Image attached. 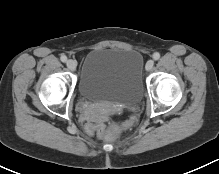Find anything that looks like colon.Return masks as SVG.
<instances>
[{"label":"colon","instance_id":"5ec220e1","mask_svg":"<svg viewBox=\"0 0 219 174\" xmlns=\"http://www.w3.org/2000/svg\"><path fill=\"white\" fill-rule=\"evenodd\" d=\"M128 125L126 124L125 127ZM85 129L87 133L91 135L97 134L100 138L107 141H113L121 131V127L117 124L106 126L102 123H88Z\"/></svg>","mask_w":219,"mask_h":174}]
</instances>
